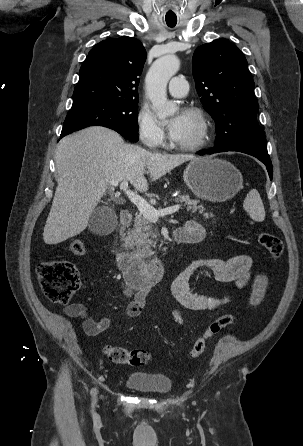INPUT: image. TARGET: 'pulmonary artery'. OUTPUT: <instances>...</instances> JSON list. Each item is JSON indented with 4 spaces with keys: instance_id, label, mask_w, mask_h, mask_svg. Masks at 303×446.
Masks as SVG:
<instances>
[{
    "instance_id": "1",
    "label": "pulmonary artery",
    "mask_w": 303,
    "mask_h": 446,
    "mask_svg": "<svg viewBox=\"0 0 303 446\" xmlns=\"http://www.w3.org/2000/svg\"><path fill=\"white\" fill-rule=\"evenodd\" d=\"M169 94L174 98H181L187 94L188 84L183 77H173L168 86Z\"/></svg>"
}]
</instances>
